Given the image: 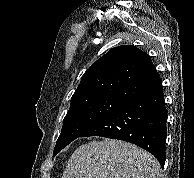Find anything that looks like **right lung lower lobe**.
Masks as SVG:
<instances>
[{
  "instance_id": "1",
  "label": "right lung lower lobe",
  "mask_w": 194,
  "mask_h": 178,
  "mask_svg": "<svg viewBox=\"0 0 194 178\" xmlns=\"http://www.w3.org/2000/svg\"><path fill=\"white\" fill-rule=\"evenodd\" d=\"M167 117L161 87L124 102L80 137L101 136L133 143L164 166Z\"/></svg>"
}]
</instances>
